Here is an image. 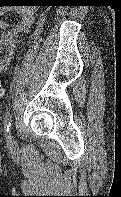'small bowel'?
Listing matches in <instances>:
<instances>
[{
  "label": "small bowel",
  "instance_id": "small-bowel-1",
  "mask_svg": "<svg viewBox=\"0 0 121 197\" xmlns=\"http://www.w3.org/2000/svg\"><path fill=\"white\" fill-rule=\"evenodd\" d=\"M11 9L8 5L0 6V16ZM19 22L12 28H8V24L0 20V73L5 72L15 56L17 39L21 33H25L30 28L33 15L28 7H20L17 9Z\"/></svg>",
  "mask_w": 121,
  "mask_h": 197
}]
</instances>
